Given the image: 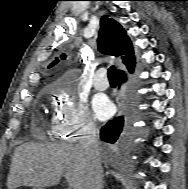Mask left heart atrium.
<instances>
[{
	"label": "left heart atrium",
	"mask_w": 188,
	"mask_h": 189,
	"mask_svg": "<svg viewBox=\"0 0 188 189\" xmlns=\"http://www.w3.org/2000/svg\"><path fill=\"white\" fill-rule=\"evenodd\" d=\"M92 108L94 114L100 120L108 119L113 113L112 103L105 95L102 94H98L93 98Z\"/></svg>",
	"instance_id": "1"
}]
</instances>
